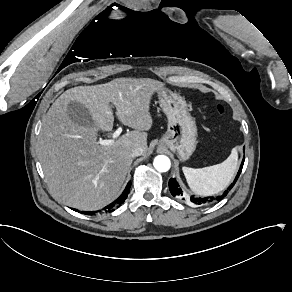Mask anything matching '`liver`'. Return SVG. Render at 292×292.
Returning a JSON list of instances; mask_svg holds the SVG:
<instances>
[{
  "mask_svg": "<svg viewBox=\"0 0 292 292\" xmlns=\"http://www.w3.org/2000/svg\"><path fill=\"white\" fill-rule=\"evenodd\" d=\"M165 84L151 79H115L97 86L75 87L64 92L42 120L38 141L40 164L51 194L65 205L97 210L113 201L124 183L133 149L147 154V133L153 126L152 99ZM71 102L84 105L90 124L71 120ZM118 110L120 121L136 131L114 138L111 134ZM100 133L112 141L100 145Z\"/></svg>",
  "mask_w": 292,
  "mask_h": 292,
  "instance_id": "6515ba94",
  "label": "liver"
}]
</instances>
